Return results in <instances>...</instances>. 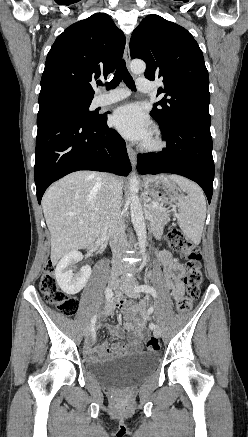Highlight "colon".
Segmentation results:
<instances>
[{
    "instance_id": "colon-1",
    "label": "colon",
    "mask_w": 248,
    "mask_h": 437,
    "mask_svg": "<svg viewBox=\"0 0 248 437\" xmlns=\"http://www.w3.org/2000/svg\"><path fill=\"white\" fill-rule=\"evenodd\" d=\"M169 241L173 248L177 249L185 260L187 274L185 276L186 293L176 300L177 310L187 312L192 303L199 297L203 275L201 271V255L197 245L183 236L179 231H173L169 235ZM40 290L46 301L55 306L65 316H73L78 309V301L75 297L63 292L55 279L54 265H46L40 280ZM147 350L157 351L160 343L157 338L150 337L146 343Z\"/></svg>"
}]
</instances>
